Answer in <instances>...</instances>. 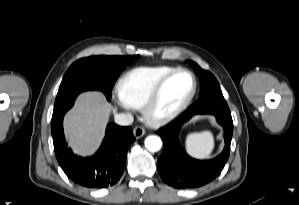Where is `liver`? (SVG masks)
<instances>
[{
  "instance_id": "6515ba94",
  "label": "liver",
  "mask_w": 299,
  "mask_h": 205,
  "mask_svg": "<svg viewBox=\"0 0 299 205\" xmlns=\"http://www.w3.org/2000/svg\"><path fill=\"white\" fill-rule=\"evenodd\" d=\"M116 109L102 93L84 92L64 118V131L73 151L82 156L92 155L104 136L105 123Z\"/></svg>"
}]
</instances>
